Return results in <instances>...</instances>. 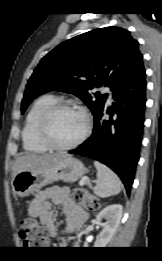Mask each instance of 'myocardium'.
<instances>
[{
  "label": "myocardium",
  "instance_id": "obj_1",
  "mask_svg": "<svg viewBox=\"0 0 162 261\" xmlns=\"http://www.w3.org/2000/svg\"><path fill=\"white\" fill-rule=\"evenodd\" d=\"M61 110H75L81 113L85 120V127L82 134L75 141L65 145L56 143L53 140L50 133L51 120L54 117V115ZM90 131H91V119L88 113L83 108L69 101L55 102L48 109L45 110L38 123V134L41 142L48 149L55 150V151H67L79 146L88 137Z\"/></svg>",
  "mask_w": 162,
  "mask_h": 261
}]
</instances>
